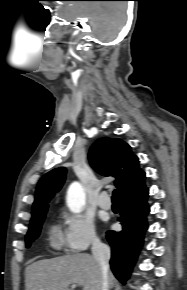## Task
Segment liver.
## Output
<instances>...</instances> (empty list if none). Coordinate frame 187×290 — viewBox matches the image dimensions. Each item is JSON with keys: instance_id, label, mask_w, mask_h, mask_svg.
<instances>
[{"instance_id": "obj_1", "label": "liver", "mask_w": 187, "mask_h": 290, "mask_svg": "<svg viewBox=\"0 0 187 290\" xmlns=\"http://www.w3.org/2000/svg\"><path fill=\"white\" fill-rule=\"evenodd\" d=\"M26 290H70V285L83 286V290H101V271L93 256L77 253L43 259L25 270ZM115 278L109 274V287Z\"/></svg>"}]
</instances>
